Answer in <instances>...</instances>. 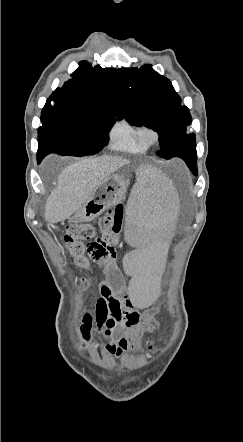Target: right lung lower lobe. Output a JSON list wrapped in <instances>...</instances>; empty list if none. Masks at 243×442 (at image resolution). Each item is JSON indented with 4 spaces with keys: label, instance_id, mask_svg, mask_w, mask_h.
<instances>
[{
    "label": "right lung lower lobe",
    "instance_id": "obj_1",
    "mask_svg": "<svg viewBox=\"0 0 243 442\" xmlns=\"http://www.w3.org/2000/svg\"><path fill=\"white\" fill-rule=\"evenodd\" d=\"M37 160H38V163H40L42 159H41V157H38Z\"/></svg>",
    "mask_w": 243,
    "mask_h": 442
}]
</instances>
